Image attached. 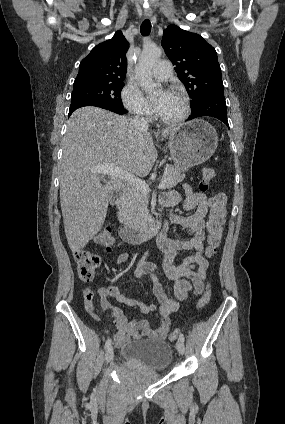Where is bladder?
Here are the masks:
<instances>
[{
	"mask_svg": "<svg viewBox=\"0 0 285 424\" xmlns=\"http://www.w3.org/2000/svg\"><path fill=\"white\" fill-rule=\"evenodd\" d=\"M125 363H132L158 376L168 370L173 360L170 344L158 339H139L125 343L121 348Z\"/></svg>",
	"mask_w": 285,
	"mask_h": 424,
	"instance_id": "1",
	"label": "bladder"
}]
</instances>
